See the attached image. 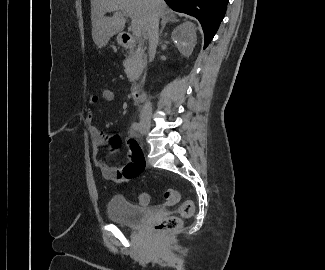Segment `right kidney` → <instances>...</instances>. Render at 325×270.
Masks as SVG:
<instances>
[{
    "label": "right kidney",
    "mask_w": 325,
    "mask_h": 270,
    "mask_svg": "<svg viewBox=\"0 0 325 270\" xmlns=\"http://www.w3.org/2000/svg\"><path fill=\"white\" fill-rule=\"evenodd\" d=\"M171 37L182 56L191 55L197 41L196 28L193 23L185 22L179 25L173 30Z\"/></svg>",
    "instance_id": "1"
}]
</instances>
